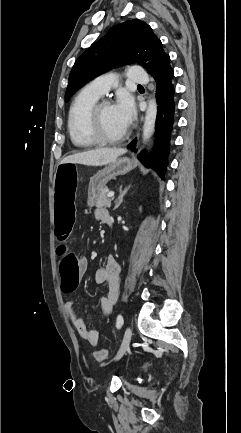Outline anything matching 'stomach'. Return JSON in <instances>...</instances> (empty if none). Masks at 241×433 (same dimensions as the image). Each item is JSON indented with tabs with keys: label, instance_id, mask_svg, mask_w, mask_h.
<instances>
[{
	"label": "stomach",
	"instance_id": "stomach-1",
	"mask_svg": "<svg viewBox=\"0 0 241 433\" xmlns=\"http://www.w3.org/2000/svg\"><path fill=\"white\" fill-rule=\"evenodd\" d=\"M134 166V162L127 157L117 158L92 176L88 186V205H94L98 194L106 187V184L111 179H114L119 175L127 174L134 168Z\"/></svg>",
	"mask_w": 241,
	"mask_h": 433
}]
</instances>
